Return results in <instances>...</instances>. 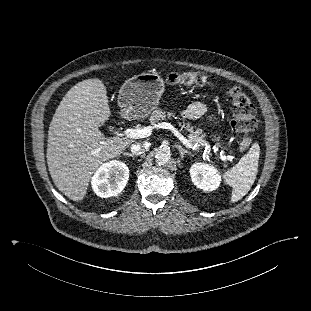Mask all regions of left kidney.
Instances as JSON below:
<instances>
[{
  "label": "left kidney",
  "mask_w": 311,
  "mask_h": 311,
  "mask_svg": "<svg viewBox=\"0 0 311 311\" xmlns=\"http://www.w3.org/2000/svg\"><path fill=\"white\" fill-rule=\"evenodd\" d=\"M190 176L194 185L204 191L216 190L221 182L217 169L208 164H193L190 168Z\"/></svg>",
  "instance_id": "1"
}]
</instances>
